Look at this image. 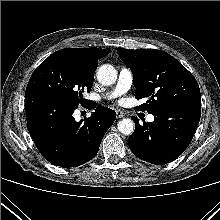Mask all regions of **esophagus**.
<instances>
[{
    "instance_id": "obj_1",
    "label": "esophagus",
    "mask_w": 220,
    "mask_h": 220,
    "mask_svg": "<svg viewBox=\"0 0 220 220\" xmlns=\"http://www.w3.org/2000/svg\"><path fill=\"white\" fill-rule=\"evenodd\" d=\"M116 115H117L118 118H122V117L125 116V113L123 111H121V110H117L116 111Z\"/></svg>"
}]
</instances>
